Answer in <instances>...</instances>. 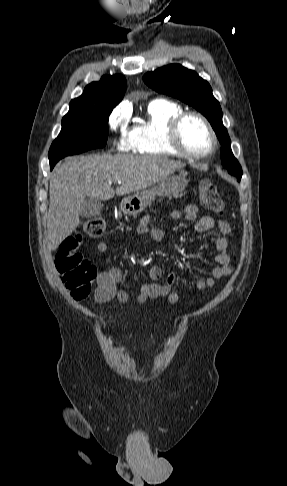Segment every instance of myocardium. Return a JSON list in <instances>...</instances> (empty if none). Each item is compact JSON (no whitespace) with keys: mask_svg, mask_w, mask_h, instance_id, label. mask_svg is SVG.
Returning a JSON list of instances; mask_svg holds the SVG:
<instances>
[{"mask_svg":"<svg viewBox=\"0 0 287 486\" xmlns=\"http://www.w3.org/2000/svg\"><path fill=\"white\" fill-rule=\"evenodd\" d=\"M190 117H195L202 122L205 126L206 130L208 131L210 138H211V147L209 150L205 152H192L188 150L181 141V127L183 123ZM167 138L169 145L180 155L193 158V159H201L211 156L218 147V138L217 135L208 121V119L197 111H183L174 117L168 127Z\"/></svg>","mask_w":287,"mask_h":486,"instance_id":"f54148a6","label":"myocardium"}]
</instances>
